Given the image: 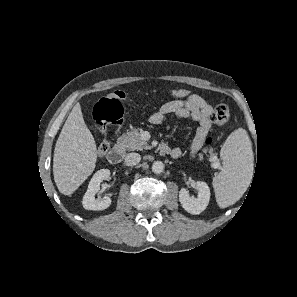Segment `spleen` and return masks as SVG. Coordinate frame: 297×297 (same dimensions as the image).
Returning <instances> with one entry per match:
<instances>
[{
  "label": "spleen",
  "mask_w": 297,
  "mask_h": 297,
  "mask_svg": "<svg viewBox=\"0 0 297 297\" xmlns=\"http://www.w3.org/2000/svg\"><path fill=\"white\" fill-rule=\"evenodd\" d=\"M220 155L222 167L213 179V187L218 198L232 203L242 196L252 176L254 156L247 132L242 128L233 131Z\"/></svg>",
  "instance_id": "3e777b00"
}]
</instances>
